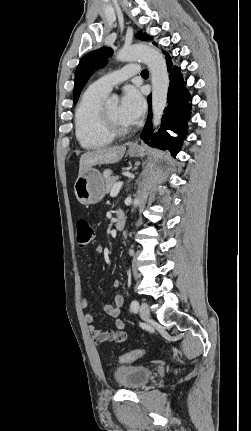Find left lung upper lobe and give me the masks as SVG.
I'll list each match as a JSON object with an SVG mask.
<instances>
[{
	"label": "left lung upper lobe",
	"instance_id": "obj_1",
	"mask_svg": "<svg viewBox=\"0 0 251 431\" xmlns=\"http://www.w3.org/2000/svg\"><path fill=\"white\" fill-rule=\"evenodd\" d=\"M137 37L142 40L150 39L146 33H138ZM111 48L102 47L85 55L79 62L75 72L74 104L77 103L80 92L87 83L90 76L105 64V60L112 54Z\"/></svg>",
	"mask_w": 251,
	"mask_h": 431
}]
</instances>
